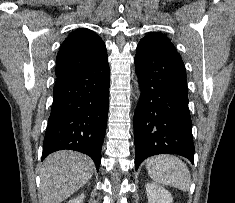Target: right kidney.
<instances>
[{
    "instance_id": "right-kidney-1",
    "label": "right kidney",
    "mask_w": 235,
    "mask_h": 203,
    "mask_svg": "<svg viewBox=\"0 0 235 203\" xmlns=\"http://www.w3.org/2000/svg\"><path fill=\"white\" fill-rule=\"evenodd\" d=\"M84 197V194H81L80 196L69 200L67 203H83Z\"/></svg>"
}]
</instances>
